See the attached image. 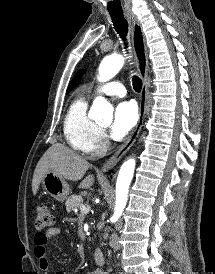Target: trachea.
<instances>
[{
	"instance_id": "3493384b",
	"label": "trachea",
	"mask_w": 215,
	"mask_h": 274,
	"mask_svg": "<svg viewBox=\"0 0 215 274\" xmlns=\"http://www.w3.org/2000/svg\"><path fill=\"white\" fill-rule=\"evenodd\" d=\"M114 28L119 36L122 38L125 44V48H127V33H128V24L126 19L124 18L123 13H110ZM133 88L136 92H140L142 88V80L138 76H133L132 78Z\"/></svg>"
}]
</instances>
